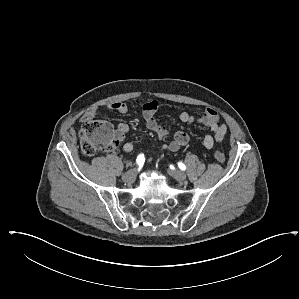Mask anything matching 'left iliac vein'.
<instances>
[{"label":"left iliac vein","mask_w":299,"mask_h":299,"mask_svg":"<svg viewBox=\"0 0 299 299\" xmlns=\"http://www.w3.org/2000/svg\"><path fill=\"white\" fill-rule=\"evenodd\" d=\"M169 174L177 181H184L186 179V174L180 170H170Z\"/></svg>","instance_id":"left-iliac-vein-1"}]
</instances>
